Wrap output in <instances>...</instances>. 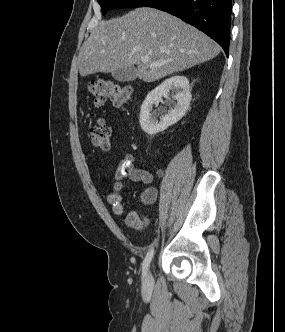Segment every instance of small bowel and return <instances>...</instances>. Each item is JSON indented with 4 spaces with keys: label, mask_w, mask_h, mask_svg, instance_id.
Returning <instances> with one entry per match:
<instances>
[{
    "label": "small bowel",
    "mask_w": 285,
    "mask_h": 332,
    "mask_svg": "<svg viewBox=\"0 0 285 332\" xmlns=\"http://www.w3.org/2000/svg\"><path fill=\"white\" fill-rule=\"evenodd\" d=\"M162 171L157 172V176H162ZM132 182H141L150 185L153 182L151 172L134 167V157L132 154H126L120 162L112 181V190L106 196L107 203L111 206L114 214H121L124 210L122 189L125 180ZM157 191L154 187L147 188L142 194V201L145 204H151L156 200ZM148 220L145 216L135 212H131L126 217V223L133 228H141L147 224Z\"/></svg>",
    "instance_id": "small-bowel-1"
}]
</instances>
